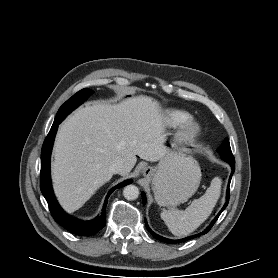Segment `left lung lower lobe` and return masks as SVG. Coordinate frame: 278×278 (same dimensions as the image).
Here are the masks:
<instances>
[{
    "instance_id": "left-lung-lower-lobe-1",
    "label": "left lung lower lobe",
    "mask_w": 278,
    "mask_h": 278,
    "mask_svg": "<svg viewBox=\"0 0 278 278\" xmlns=\"http://www.w3.org/2000/svg\"><path fill=\"white\" fill-rule=\"evenodd\" d=\"M232 168V172H231V175H230V178H229V184H228V188H227V197H226V203L225 205L223 206V208L221 209V211L218 213V215L215 217V219L211 222V224L201 233L199 234H196L194 236H190V237H187V238H184V239H181V240H171V239H168V238H164L156 233H154L150 228L149 226L147 225V223L145 224L146 225V228L148 229L149 232H151V234L158 240L162 241V242H165V243H179V242H183V241H186V240H189V239H192L194 237H197V236H200V235H203V234H206L210 228L214 225V223L216 222V220L218 219V217L220 216V214L222 213V211L226 208V206L228 205V202H229V186H230V182H231V178H232V175L235 171V162H228ZM142 199H143V204H145L146 202V197L144 194H142ZM146 222V221H145Z\"/></svg>"
}]
</instances>
